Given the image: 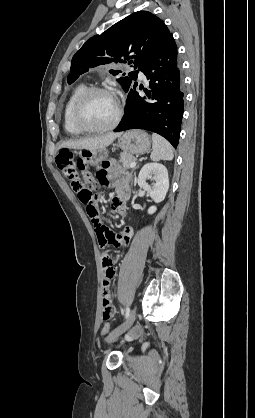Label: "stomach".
Instances as JSON below:
<instances>
[{"instance_id": "obj_1", "label": "stomach", "mask_w": 255, "mask_h": 418, "mask_svg": "<svg viewBox=\"0 0 255 418\" xmlns=\"http://www.w3.org/2000/svg\"><path fill=\"white\" fill-rule=\"evenodd\" d=\"M118 146L126 154L141 155L150 150L151 141L145 131L131 130L121 133L118 137ZM80 156L85 164L97 166L107 158L108 153L106 149L83 150L80 151Z\"/></svg>"}]
</instances>
